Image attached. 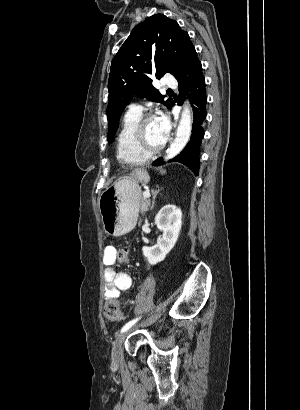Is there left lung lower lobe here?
<instances>
[{
	"label": "left lung lower lobe",
	"mask_w": 300,
	"mask_h": 410,
	"mask_svg": "<svg viewBox=\"0 0 300 410\" xmlns=\"http://www.w3.org/2000/svg\"><path fill=\"white\" fill-rule=\"evenodd\" d=\"M182 96L186 95L192 102L193 126L190 141L184 150L171 161L179 162L189 167L195 175L199 173L200 145L204 136L203 122L206 119V89L205 79L202 73L201 62L195 54L186 72L177 79ZM189 92V93H188ZM162 158L157 159L153 165H161Z\"/></svg>",
	"instance_id": "obj_1"
}]
</instances>
